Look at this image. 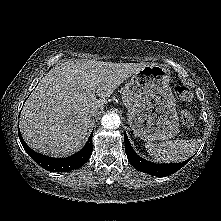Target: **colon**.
I'll use <instances>...</instances> for the list:
<instances>
[{
    "instance_id": "colon-1",
    "label": "colon",
    "mask_w": 221,
    "mask_h": 221,
    "mask_svg": "<svg viewBox=\"0 0 221 221\" xmlns=\"http://www.w3.org/2000/svg\"><path fill=\"white\" fill-rule=\"evenodd\" d=\"M174 93L176 97L182 102H190L193 100V92L188 85L183 82H177L174 86ZM183 124L192 126L194 124V117L189 111H183L181 115Z\"/></svg>"
}]
</instances>
